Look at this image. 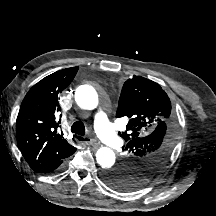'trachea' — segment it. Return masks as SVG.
Masks as SVG:
<instances>
[{"label":"trachea","instance_id":"trachea-1","mask_svg":"<svg viewBox=\"0 0 216 216\" xmlns=\"http://www.w3.org/2000/svg\"><path fill=\"white\" fill-rule=\"evenodd\" d=\"M71 131L75 134L84 136L85 135V126H84L83 122H81V121L74 122L73 125L71 126Z\"/></svg>","mask_w":216,"mask_h":216}]
</instances>
